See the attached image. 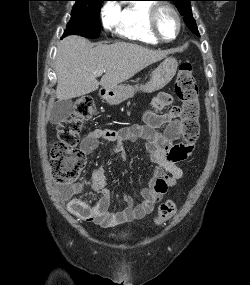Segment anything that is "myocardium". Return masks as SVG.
Listing matches in <instances>:
<instances>
[{"label":"myocardium","instance_id":"1","mask_svg":"<svg viewBox=\"0 0 250 285\" xmlns=\"http://www.w3.org/2000/svg\"><path fill=\"white\" fill-rule=\"evenodd\" d=\"M163 10H167L169 12H171L175 18H176V21H177V25H178V28H177V32L175 34L174 37L172 38H164L159 30H158V17H159V14L161 13V11ZM182 18L180 16V13L178 12V10L176 8H174L172 5L170 4H166V3H162V4H155L152 8H151V11H150V14H149V31L151 33V35L158 41V42H162V43H169V42H172L174 40L177 39V37L180 35L181 33V30H182Z\"/></svg>","mask_w":250,"mask_h":285}]
</instances>
